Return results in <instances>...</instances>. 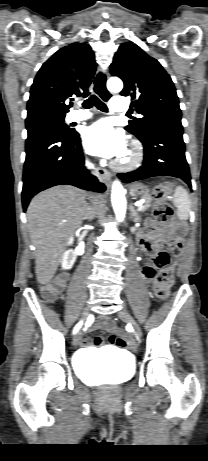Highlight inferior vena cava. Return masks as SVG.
Segmentation results:
<instances>
[{
    "mask_svg": "<svg viewBox=\"0 0 208 461\" xmlns=\"http://www.w3.org/2000/svg\"><path fill=\"white\" fill-rule=\"evenodd\" d=\"M90 168H94V166L92 164H90ZM89 216H91L92 218L94 217L95 215V212L92 208H89V213H88ZM91 218V219H92Z\"/></svg>",
    "mask_w": 208,
    "mask_h": 461,
    "instance_id": "obj_1",
    "label": "inferior vena cava"
}]
</instances>
